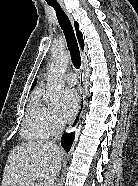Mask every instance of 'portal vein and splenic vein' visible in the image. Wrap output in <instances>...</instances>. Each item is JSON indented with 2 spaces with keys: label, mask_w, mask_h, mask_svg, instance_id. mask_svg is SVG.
Masks as SVG:
<instances>
[{
  "label": "portal vein and splenic vein",
  "mask_w": 138,
  "mask_h": 186,
  "mask_svg": "<svg viewBox=\"0 0 138 186\" xmlns=\"http://www.w3.org/2000/svg\"><path fill=\"white\" fill-rule=\"evenodd\" d=\"M35 186H43V183L42 182H38L35 184Z\"/></svg>",
  "instance_id": "portal-vein-and-splenic-vein-1"
}]
</instances>
